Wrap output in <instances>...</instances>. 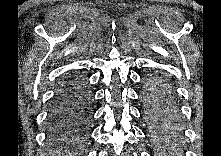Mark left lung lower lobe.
I'll list each match as a JSON object with an SVG mask.
<instances>
[{"label":"left lung lower lobe","mask_w":221,"mask_h":156,"mask_svg":"<svg viewBox=\"0 0 221 156\" xmlns=\"http://www.w3.org/2000/svg\"><path fill=\"white\" fill-rule=\"evenodd\" d=\"M142 103L152 137H168L181 131L179 98L172 80L166 74L155 71L144 76Z\"/></svg>","instance_id":"1"}]
</instances>
